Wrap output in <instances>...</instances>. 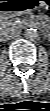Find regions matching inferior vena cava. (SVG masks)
<instances>
[{
  "label": "inferior vena cava",
  "instance_id": "602c4592",
  "mask_svg": "<svg viewBox=\"0 0 50 111\" xmlns=\"http://www.w3.org/2000/svg\"><path fill=\"white\" fill-rule=\"evenodd\" d=\"M3 36H4V39L10 40V39H14V38L19 37L20 32L16 31V30L6 31Z\"/></svg>",
  "mask_w": 50,
  "mask_h": 111
}]
</instances>
